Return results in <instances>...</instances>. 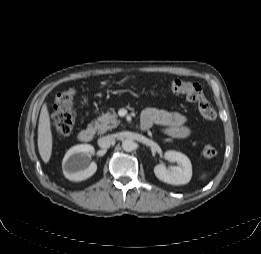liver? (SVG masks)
<instances>
[{
    "mask_svg": "<svg viewBox=\"0 0 261 254\" xmlns=\"http://www.w3.org/2000/svg\"><path fill=\"white\" fill-rule=\"evenodd\" d=\"M52 132L47 104L42 106L38 124V150L42 160L48 163L52 154Z\"/></svg>",
    "mask_w": 261,
    "mask_h": 254,
    "instance_id": "1",
    "label": "liver"
}]
</instances>
